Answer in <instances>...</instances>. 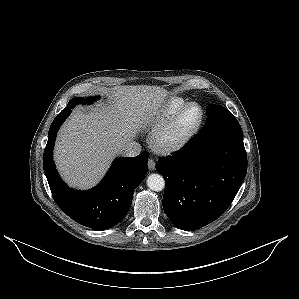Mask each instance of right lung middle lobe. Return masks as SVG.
<instances>
[{
  "label": "right lung middle lobe",
  "instance_id": "right-lung-middle-lobe-1",
  "mask_svg": "<svg viewBox=\"0 0 299 299\" xmlns=\"http://www.w3.org/2000/svg\"><path fill=\"white\" fill-rule=\"evenodd\" d=\"M94 99H96V97H94V98H86V99L84 97H76V98H73V99H71L69 101L67 107L72 108L76 104H79V103H81V104H87V103L92 102Z\"/></svg>",
  "mask_w": 299,
  "mask_h": 299
}]
</instances>
